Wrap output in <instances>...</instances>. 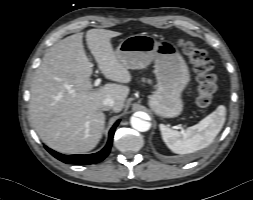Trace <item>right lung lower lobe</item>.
<instances>
[{"mask_svg":"<svg viewBox=\"0 0 253 200\" xmlns=\"http://www.w3.org/2000/svg\"><path fill=\"white\" fill-rule=\"evenodd\" d=\"M119 124L117 121L109 132V139L106 146L99 152L88 155H62L48 147L46 149L57 159L67 164H94L102 161L110 152L115 128Z\"/></svg>","mask_w":253,"mask_h":200,"instance_id":"98d812e1","label":"right lung lower lobe"}]
</instances>
